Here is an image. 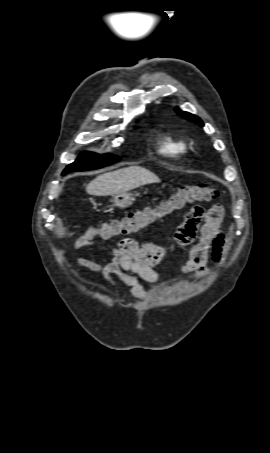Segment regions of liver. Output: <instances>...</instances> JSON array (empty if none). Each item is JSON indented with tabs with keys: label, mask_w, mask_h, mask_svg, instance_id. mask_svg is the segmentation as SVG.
Masks as SVG:
<instances>
[{
	"label": "liver",
	"mask_w": 270,
	"mask_h": 453,
	"mask_svg": "<svg viewBox=\"0 0 270 453\" xmlns=\"http://www.w3.org/2000/svg\"><path fill=\"white\" fill-rule=\"evenodd\" d=\"M159 182L160 179L146 168L130 166L98 175L87 185L86 192L94 196H114L146 184Z\"/></svg>",
	"instance_id": "6515ba94"
}]
</instances>
